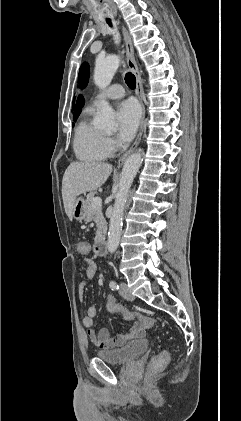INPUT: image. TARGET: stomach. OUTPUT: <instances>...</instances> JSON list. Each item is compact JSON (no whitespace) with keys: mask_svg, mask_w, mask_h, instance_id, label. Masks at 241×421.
<instances>
[{"mask_svg":"<svg viewBox=\"0 0 241 421\" xmlns=\"http://www.w3.org/2000/svg\"><path fill=\"white\" fill-rule=\"evenodd\" d=\"M72 216L79 222L86 218V204L83 198L79 197L75 200Z\"/></svg>","mask_w":241,"mask_h":421,"instance_id":"stomach-1","label":"stomach"}]
</instances>
